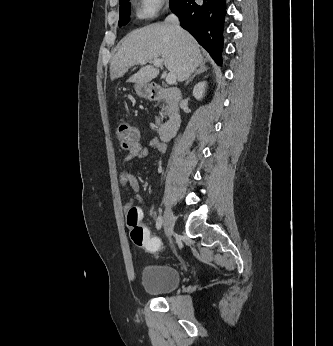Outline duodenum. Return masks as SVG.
I'll return each mask as SVG.
<instances>
[{
    "label": "duodenum",
    "mask_w": 333,
    "mask_h": 346,
    "mask_svg": "<svg viewBox=\"0 0 333 346\" xmlns=\"http://www.w3.org/2000/svg\"><path fill=\"white\" fill-rule=\"evenodd\" d=\"M182 92L177 88H164L159 85H152L149 88V97L153 101H167L166 112L169 120L162 124L158 129L159 137L162 141L172 138L181 124V114L179 102L182 99Z\"/></svg>",
    "instance_id": "duodenum-1"
}]
</instances>
